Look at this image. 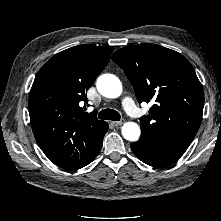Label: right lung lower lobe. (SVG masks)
Masks as SVG:
<instances>
[{"label": "right lung lower lobe", "instance_id": "98d812e1", "mask_svg": "<svg viewBox=\"0 0 221 221\" xmlns=\"http://www.w3.org/2000/svg\"><path fill=\"white\" fill-rule=\"evenodd\" d=\"M107 130H108V124L105 122V124L103 125L102 129L99 131V133L97 134V136L95 138L94 149H93L90 157H88L87 160L79 168H82V167L88 165L99 154V152L101 150V147H102L103 138H104V135L107 132ZM79 168H76V169H79Z\"/></svg>", "mask_w": 221, "mask_h": 221}]
</instances>
